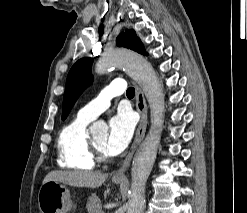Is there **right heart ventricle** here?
<instances>
[{"label": "right heart ventricle", "mask_w": 247, "mask_h": 213, "mask_svg": "<svg viewBox=\"0 0 247 213\" xmlns=\"http://www.w3.org/2000/svg\"><path fill=\"white\" fill-rule=\"evenodd\" d=\"M89 122L77 116L61 129L57 138L59 167L69 170H92L95 167L87 145Z\"/></svg>", "instance_id": "obj_1"}]
</instances>
